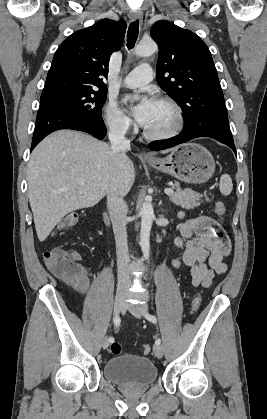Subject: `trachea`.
<instances>
[{
  "mask_svg": "<svg viewBox=\"0 0 267 419\" xmlns=\"http://www.w3.org/2000/svg\"><path fill=\"white\" fill-rule=\"evenodd\" d=\"M139 33V23L138 20L132 22L129 25L128 31H127V47L128 49H132L137 41Z\"/></svg>",
  "mask_w": 267,
  "mask_h": 419,
  "instance_id": "3493384b",
  "label": "trachea"
}]
</instances>
